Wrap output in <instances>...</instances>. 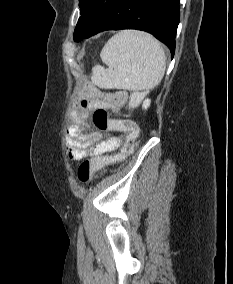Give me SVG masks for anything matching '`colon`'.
Returning a JSON list of instances; mask_svg holds the SVG:
<instances>
[{
    "instance_id": "obj_1",
    "label": "colon",
    "mask_w": 233,
    "mask_h": 284,
    "mask_svg": "<svg viewBox=\"0 0 233 284\" xmlns=\"http://www.w3.org/2000/svg\"><path fill=\"white\" fill-rule=\"evenodd\" d=\"M147 90L132 92L128 103L129 108L137 107L145 97ZM93 122L101 131H122L126 132L124 144L119 152L113 156H97L84 160L78 168V178L82 183H89L95 173L105 165L125 159L134 150L138 138L139 129L137 125H129L123 120L111 119L104 108H97L93 113Z\"/></svg>"
}]
</instances>
